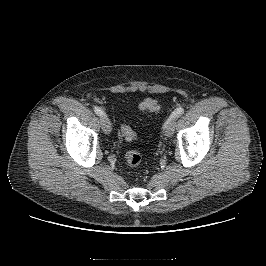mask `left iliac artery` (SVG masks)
Wrapping results in <instances>:
<instances>
[{"label": "left iliac artery", "instance_id": "44dca946", "mask_svg": "<svg viewBox=\"0 0 266 266\" xmlns=\"http://www.w3.org/2000/svg\"><path fill=\"white\" fill-rule=\"evenodd\" d=\"M184 113V108L183 107H179L177 109H175L172 114L170 115L169 119L167 120V122L165 123V126L166 124L168 123V121L172 120V119H175L176 117L180 116L181 114Z\"/></svg>", "mask_w": 266, "mask_h": 266}]
</instances>
